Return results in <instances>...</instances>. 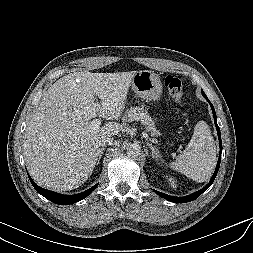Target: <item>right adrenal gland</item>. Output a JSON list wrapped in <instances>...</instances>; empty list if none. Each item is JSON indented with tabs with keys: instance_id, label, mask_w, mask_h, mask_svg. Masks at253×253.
<instances>
[{
	"instance_id": "1",
	"label": "right adrenal gland",
	"mask_w": 253,
	"mask_h": 253,
	"mask_svg": "<svg viewBox=\"0 0 253 253\" xmlns=\"http://www.w3.org/2000/svg\"><path fill=\"white\" fill-rule=\"evenodd\" d=\"M105 149H106L105 147L100 148V154H99V157H98L97 165L99 164V161H100L101 156H102V154H103V151H104Z\"/></svg>"
}]
</instances>
